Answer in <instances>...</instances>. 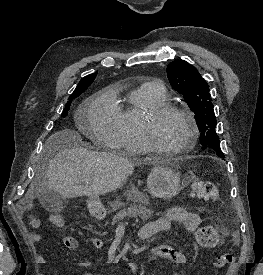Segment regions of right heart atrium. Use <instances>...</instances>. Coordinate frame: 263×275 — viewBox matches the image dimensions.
Listing matches in <instances>:
<instances>
[{
    "mask_svg": "<svg viewBox=\"0 0 263 275\" xmlns=\"http://www.w3.org/2000/svg\"><path fill=\"white\" fill-rule=\"evenodd\" d=\"M116 108L113 93L103 92L93 100L88 109V119L95 138L109 147L117 146Z\"/></svg>",
    "mask_w": 263,
    "mask_h": 275,
    "instance_id": "right-heart-atrium-1",
    "label": "right heart atrium"
}]
</instances>
